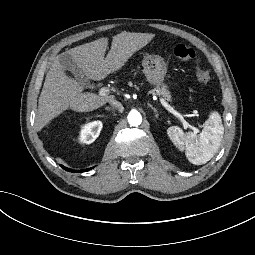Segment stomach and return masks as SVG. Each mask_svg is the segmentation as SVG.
<instances>
[{"label": "stomach", "instance_id": "obj_1", "mask_svg": "<svg viewBox=\"0 0 255 255\" xmlns=\"http://www.w3.org/2000/svg\"><path fill=\"white\" fill-rule=\"evenodd\" d=\"M166 70V65L163 62L156 63L154 66L144 65V74L147 81L154 86L162 84Z\"/></svg>", "mask_w": 255, "mask_h": 255}]
</instances>
